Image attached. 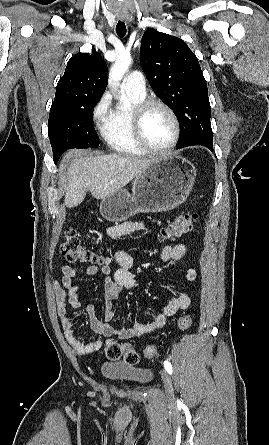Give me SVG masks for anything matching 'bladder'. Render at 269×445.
Wrapping results in <instances>:
<instances>
[{
	"label": "bladder",
	"mask_w": 269,
	"mask_h": 445,
	"mask_svg": "<svg viewBox=\"0 0 269 445\" xmlns=\"http://www.w3.org/2000/svg\"><path fill=\"white\" fill-rule=\"evenodd\" d=\"M101 374L110 380L145 385L153 378L150 369L136 368L120 361H105L100 367Z\"/></svg>",
	"instance_id": "bladder-1"
}]
</instances>
